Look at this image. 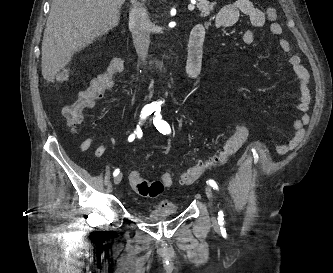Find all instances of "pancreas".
I'll return each instance as SVG.
<instances>
[{"label":"pancreas","mask_w":333,"mask_h":273,"mask_svg":"<svg viewBox=\"0 0 333 273\" xmlns=\"http://www.w3.org/2000/svg\"><path fill=\"white\" fill-rule=\"evenodd\" d=\"M197 7L199 11L201 12L202 17H206L210 14V12L213 10L214 5L212 3H209L207 0H197Z\"/></svg>","instance_id":"obj_1"}]
</instances>
